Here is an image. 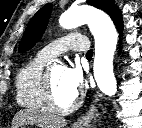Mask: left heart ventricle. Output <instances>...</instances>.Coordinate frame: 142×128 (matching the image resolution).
I'll return each instance as SVG.
<instances>
[{
  "instance_id": "b2bd125f",
  "label": "left heart ventricle",
  "mask_w": 142,
  "mask_h": 128,
  "mask_svg": "<svg viewBox=\"0 0 142 128\" xmlns=\"http://www.w3.org/2000/svg\"><path fill=\"white\" fill-rule=\"evenodd\" d=\"M63 73L64 69L62 67H55L50 70L55 101L58 106L67 107L77 95L71 92L64 84Z\"/></svg>"
}]
</instances>
